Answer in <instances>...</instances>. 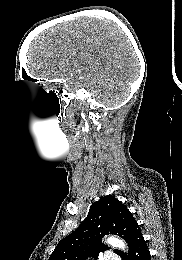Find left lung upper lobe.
Listing matches in <instances>:
<instances>
[{
  "instance_id": "5c2ea615",
  "label": "left lung upper lobe",
  "mask_w": 182,
  "mask_h": 260,
  "mask_svg": "<svg viewBox=\"0 0 182 260\" xmlns=\"http://www.w3.org/2000/svg\"><path fill=\"white\" fill-rule=\"evenodd\" d=\"M138 226L132 213L114 196L101 197L89 208L86 219L71 234L61 240L49 260H86L97 257L100 251L108 249L102 244L105 235L118 234L126 242ZM115 253L121 254L119 250Z\"/></svg>"
}]
</instances>
